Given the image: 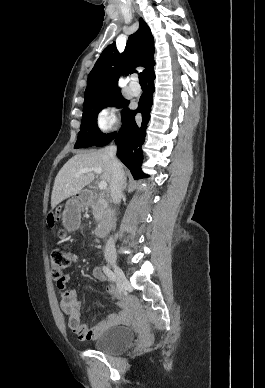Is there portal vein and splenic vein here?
Returning a JSON list of instances; mask_svg holds the SVG:
<instances>
[{"label":"portal vein and splenic vein","mask_w":265,"mask_h":388,"mask_svg":"<svg viewBox=\"0 0 265 388\" xmlns=\"http://www.w3.org/2000/svg\"><path fill=\"white\" fill-rule=\"evenodd\" d=\"M89 172H95V174H102L101 168H99V166H95V168H83V170H79L75 178H78V176H82V174H89ZM107 186V182H100L99 184L100 190H106Z\"/></svg>","instance_id":"obj_1"}]
</instances>
